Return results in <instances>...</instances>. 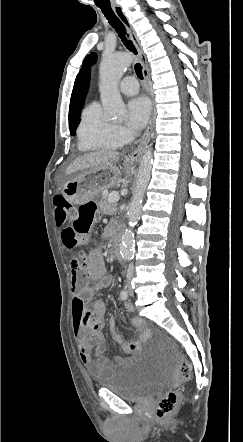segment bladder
Here are the masks:
<instances>
[{
  "instance_id": "obj_1",
  "label": "bladder",
  "mask_w": 243,
  "mask_h": 442,
  "mask_svg": "<svg viewBox=\"0 0 243 442\" xmlns=\"http://www.w3.org/2000/svg\"><path fill=\"white\" fill-rule=\"evenodd\" d=\"M162 369L156 368V360L131 358L125 364L98 379L96 384L106 388L123 400L139 402L159 393L165 382L173 378L169 362Z\"/></svg>"
}]
</instances>
